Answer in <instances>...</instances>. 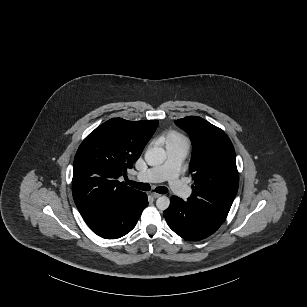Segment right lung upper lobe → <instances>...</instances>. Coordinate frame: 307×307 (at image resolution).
Returning <instances> with one entry per match:
<instances>
[{
    "label": "right lung upper lobe",
    "mask_w": 307,
    "mask_h": 307,
    "mask_svg": "<svg viewBox=\"0 0 307 307\" xmlns=\"http://www.w3.org/2000/svg\"><path fill=\"white\" fill-rule=\"evenodd\" d=\"M158 121L113 118L92 131L74 158L72 193L85 221L108 212L140 191L117 179L140 157Z\"/></svg>",
    "instance_id": "right-lung-upper-lobe-1"
}]
</instances>
